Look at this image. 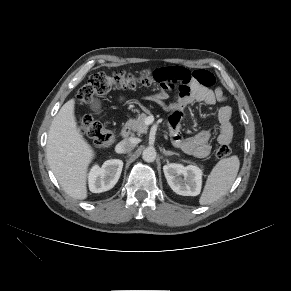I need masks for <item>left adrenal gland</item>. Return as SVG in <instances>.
Returning <instances> with one entry per match:
<instances>
[{
    "mask_svg": "<svg viewBox=\"0 0 291 291\" xmlns=\"http://www.w3.org/2000/svg\"><path fill=\"white\" fill-rule=\"evenodd\" d=\"M163 154L165 156L178 155V153H175V152H172V151H166L165 149H163Z\"/></svg>",
    "mask_w": 291,
    "mask_h": 291,
    "instance_id": "obj_1",
    "label": "left adrenal gland"
}]
</instances>
